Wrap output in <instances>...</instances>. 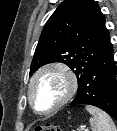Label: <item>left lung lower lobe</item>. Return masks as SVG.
I'll return each instance as SVG.
<instances>
[{
  "label": "left lung lower lobe",
  "instance_id": "1",
  "mask_svg": "<svg viewBox=\"0 0 117 131\" xmlns=\"http://www.w3.org/2000/svg\"><path fill=\"white\" fill-rule=\"evenodd\" d=\"M117 67L113 59L112 44L89 70L86 79L78 86L75 99L70 105L96 106L117 121Z\"/></svg>",
  "mask_w": 117,
  "mask_h": 131
}]
</instances>
